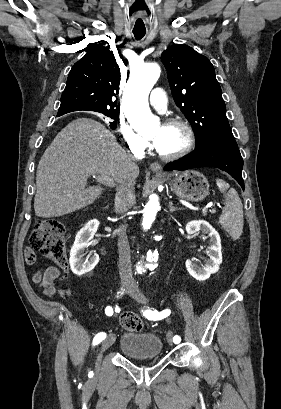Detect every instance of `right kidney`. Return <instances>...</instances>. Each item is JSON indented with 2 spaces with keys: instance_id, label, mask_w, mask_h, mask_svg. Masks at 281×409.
Listing matches in <instances>:
<instances>
[{
  "instance_id": "obj_1",
  "label": "right kidney",
  "mask_w": 281,
  "mask_h": 409,
  "mask_svg": "<svg viewBox=\"0 0 281 409\" xmlns=\"http://www.w3.org/2000/svg\"><path fill=\"white\" fill-rule=\"evenodd\" d=\"M99 225L100 223L97 219H91L78 231L75 237L74 245L70 251L71 271H73L74 275H78V277L93 271L100 261L97 253H88V255L84 253L85 249L89 247L90 241L93 239Z\"/></svg>"
}]
</instances>
